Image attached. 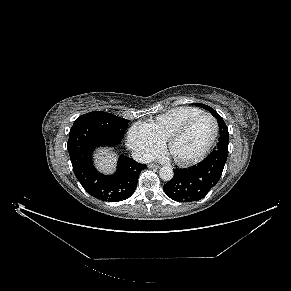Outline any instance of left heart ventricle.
<instances>
[{
	"instance_id": "b2bd125f",
	"label": "left heart ventricle",
	"mask_w": 291,
	"mask_h": 291,
	"mask_svg": "<svg viewBox=\"0 0 291 291\" xmlns=\"http://www.w3.org/2000/svg\"><path fill=\"white\" fill-rule=\"evenodd\" d=\"M214 131L211 119L203 117L195 121L169 148L172 157L187 160L197 156L210 142Z\"/></svg>"
}]
</instances>
